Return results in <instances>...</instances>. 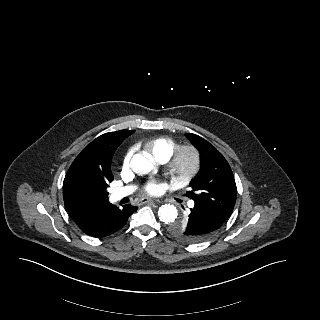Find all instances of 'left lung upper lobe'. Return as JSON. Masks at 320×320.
Here are the masks:
<instances>
[{"label":"left lung upper lobe","mask_w":320,"mask_h":320,"mask_svg":"<svg viewBox=\"0 0 320 320\" xmlns=\"http://www.w3.org/2000/svg\"><path fill=\"white\" fill-rule=\"evenodd\" d=\"M187 138L200 152V170L190 182L188 195L195 204L227 220L234 209L237 188L232 170L223 155L208 141L195 134ZM170 233L179 240L193 243L198 239L188 231L186 219L175 220L169 226Z\"/></svg>","instance_id":"obj_1"}]
</instances>
